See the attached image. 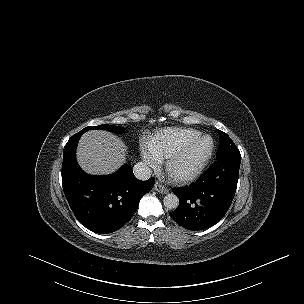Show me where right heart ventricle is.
<instances>
[{"label":"right heart ventricle","instance_id":"obj_1","mask_svg":"<svg viewBox=\"0 0 304 304\" xmlns=\"http://www.w3.org/2000/svg\"><path fill=\"white\" fill-rule=\"evenodd\" d=\"M200 135L195 129L165 128L153 135L150 148L159 157L169 158Z\"/></svg>","mask_w":304,"mask_h":304}]
</instances>
